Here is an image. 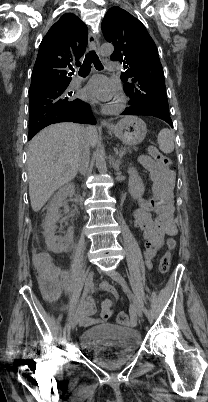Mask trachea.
Wrapping results in <instances>:
<instances>
[{
	"instance_id": "trachea-1",
	"label": "trachea",
	"mask_w": 208,
	"mask_h": 402,
	"mask_svg": "<svg viewBox=\"0 0 208 402\" xmlns=\"http://www.w3.org/2000/svg\"><path fill=\"white\" fill-rule=\"evenodd\" d=\"M92 63L94 64V66L97 70H103V65L100 62L97 54L95 53V51H91L85 56V60L82 63L80 70L78 72L79 75L82 77L88 75V73L91 70ZM71 73H73V72H71Z\"/></svg>"
}]
</instances>
